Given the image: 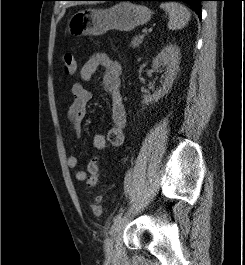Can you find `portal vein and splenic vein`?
I'll return each instance as SVG.
<instances>
[{"mask_svg": "<svg viewBox=\"0 0 245 265\" xmlns=\"http://www.w3.org/2000/svg\"><path fill=\"white\" fill-rule=\"evenodd\" d=\"M140 38H141V39H144V38H145V34H141V35H140Z\"/></svg>", "mask_w": 245, "mask_h": 265, "instance_id": "1", "label": "portal vein and splenic vein"}]
</instances>
